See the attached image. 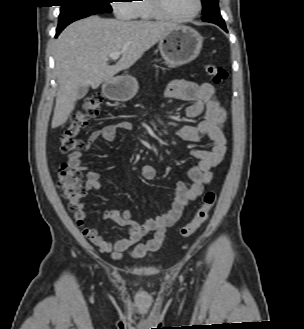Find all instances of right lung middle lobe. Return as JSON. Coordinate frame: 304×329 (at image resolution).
<instances>
[{
    "instance_id": "1",
    "label": "right lung middle lobe",
    "mask_w": 304,
    "mask_h": 329,
    "mask_svg": "<svg viewBox=\"0 0 304 329\" xmlns=\"http://www.w3.org/2000/svg\"><path fill=\"white\" fill-rule=\"evenodd\" d=\"M61 9L58 28L99 13H110V0H60Z\"/></svg>"
}]
</instances>
